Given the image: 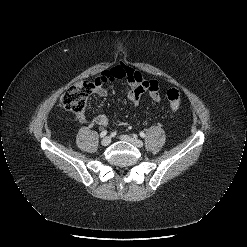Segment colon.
Masks as SVG:
<instances>
[{"label": "colon", "mask_w": 247, "mask_h": 247, "mask_svg": "<svg viewBox=\"0 0 247 247\" xmlns=\"http://www.w3.org/2000/svg\"><path fill=\"white\" fill-rule=\"evenodd\" d=\"M95 88V82L92 83L86 81L71 86L61 97L62 106L76 115L82 114L85 110L87 99ZM166 98L169 109L172 112H177L182 101L180 92L175 88L168 89L166 92Z\"/></svg>", "instance_id": "5ec220e1"}]
</instances>
